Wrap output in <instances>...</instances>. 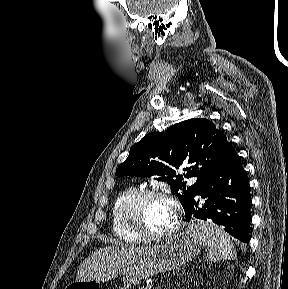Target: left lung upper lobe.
<instances>
[{
    "label": "left lung upper lobe",
    "instance_id": "1",
    "mask_svg": "<svg viewBox=\"0 0 288 289\" xmlns=\"http://www.w3.org/2000/svg\"><path fill=\"white\" fill-rule=\"evenodd\" d=\"M229 142L225 134L207 119H190L172 125L165 132L147 134L134 144L128 158L118 167L116 175L156 177L167 181L183 208L200 190L204 180L222 160ZM187 163L186 174L176 170ZM196 176L186 186L183 179Z\"/></svg>",
    "mask_w": 288,
    "mask_h": 289
}]
</instances>
